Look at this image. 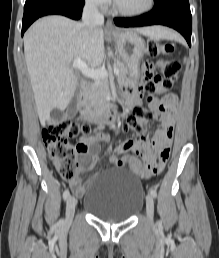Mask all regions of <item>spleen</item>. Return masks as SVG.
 I'll return each instance as SVG.
<instances>
[{
    "label": "spleen",
    "mask_w": 219,
    "mask_h": 258,
    "mask_svg": "<svg viewBox=\"0 0 219 258\" xmlns=\"http://www.w3.org/2000/svg\"><path fill=\"white\" fill-rule=\"evenodd\" d=\"M156 37L159 38H167V39H172L175 38V34L172 33L170 30L159 27V30L157 31Z\"/></svg>",
    "instance_id": "spleen-1"
}]
</instances>
